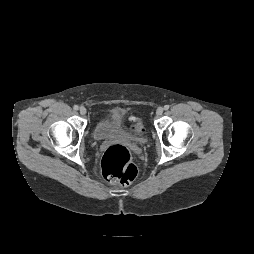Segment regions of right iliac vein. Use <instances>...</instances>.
<instances>
[{"instance_id":"1","label":"right iliac vein","mask_w":254,"mask_h":254,"mask_svg":"<svg viewBox=\"0 0 254 254\" xmlns=\"http://www.w3.org/2000/svg\"><path fill=\"white\" fill-rule=\"evenodd\" d=\"M79 112H80L81 115H85L87 111H86V108L84 106H81L79 108Z\"/></svg>"}]
</instances>
